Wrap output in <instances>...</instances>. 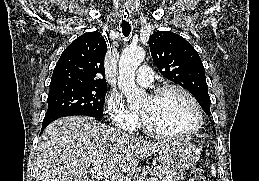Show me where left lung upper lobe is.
<instances>
[{
    "label": "left lung upper lobe",
    "instance_id": "left-lung-upper-lobe-1",
    "mask_svg": "<svg viewBox=\"0 0 259 181\" xmlns=\"http://www.w3.org/2000/svg\"><path fill=\"white\" fill-rule=\"evenodd\" d=\"M154 63L167 79L187 89L210 116V97L205 71L198 52L181 36L158 31L149 38ZM213 132L216 135L215 128Z\"/></svg>",
    "mask_w": 259,
    "mask_h": 181
}]
</instances>
